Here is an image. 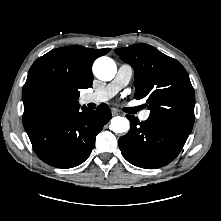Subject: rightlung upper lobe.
Here are the masks:
<instances>
[{
	"label": "right lung upper lobe",
	"mask_w": 221,
	"mask_h": 221,
	"mask_svg": "<svg viewBox=\"0 0 221 221\" xmlns=\"http://www.w3.org/2000/svg\"><path fill=\"white\" fill-rule=\"evenodd\" d=\"M110 48L68 46L54 49L31 66L22 91L23 125L79 105V91L93 83L92 64Z\"/></svg>",
	"instance_id": "1"
}]
</instances>
